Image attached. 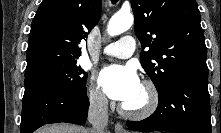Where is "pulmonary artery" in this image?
<instances>
[{
    "label": "pulmonary artery",
    "mask_w": 221,
    "mask_h": 133,
    "mask_svg": "<svg viewBox=\"0 0 221 133\" xmlns=\"http://www.w3.org/2000/svg\"><path fill=\"white\" fill-rule=\"evenodd\" d=\"M135 49V41L131 36H124L121 40L106 46L103 53L118 58H129Z\"/></svg>",
    "instance_id": "e3ab8cb5"
}]
</instances>
